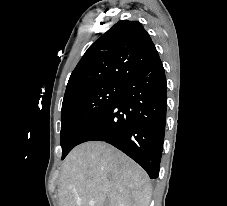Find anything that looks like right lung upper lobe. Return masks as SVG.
<instances>
[{
  "instance_id": "cb5924a9",
  "label": "right lung upper lobe",
  "mask_w": 227,
  "mask_h": 206,
  "mask_svg": "<svg viewBox=\"0 0 227 206\" xmlns=\"http://www.w3.org/2000/svg\"><path fill=\"white\" fill-rule=\"evenodd\" d=\"M159 59L140 22L119 21L87 49L69 78L64 98L100 83L124 82Z\"/></svg>"
}]
</instances>
